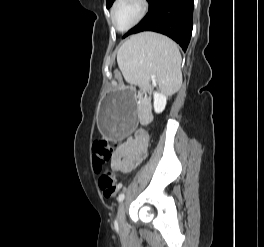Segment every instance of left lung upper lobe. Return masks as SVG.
<instances>
[{
	"label": "left lung upper lobe",
	"instance_id": "1",
	"mask_svg": "<svg viewBox=\"0 0 264 247\" xmlns=\"http://www.w3.org/2000/svg\"><path fill=\"white\" fill-rule=\"evenodd\" d=\"M113 2H114V0H107L106 7L107 8L111 7V5H112Z\"/></svg>",
	"mask_w": 264,
	"mask_h": 247
}]
</instances>
